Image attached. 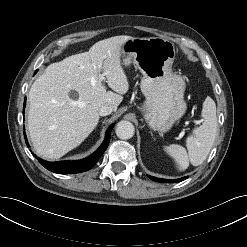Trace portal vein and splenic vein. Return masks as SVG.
I'll return each mask as SVG.
<instances>
[{
  "label": "portal vein and splenic vein",
  "instance_id": "obj_1",
  "mask_svg": "<svg viewBox=\"0 0 247 247\" xmlns=\"http://www.w3.org/2000/svg\"><path fill=\"white\" fill-rule=\"evenodd\" d=\"M99 78L101 81L105 80L104 76L102 74H99ZM196 124H199L200 121H195Z\"/></svg>",
  "mask_w": 247,
  "mask_h": 247
}]
</instances>
